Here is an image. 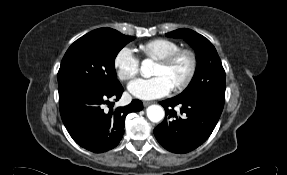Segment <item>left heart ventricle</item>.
Returning a JSON list of instances; mask_svg holds the SVG:
<instances>
[{
    "instance_id": "b2bd125f",
    "label": "left heart ventricle",
    "mask_w": 287,
    "mask_h": 175,
    "mask_svg": "<svg viewBox=\"0 0 287 175\" xmlns=\"http://www.w3.org/2000/svg\"><path fill=\"white\" fill-rule=\"evenodd\" d=\"M188 70L189 61L186 57H182L168 67L157 62L153 70V75H163L173 87L186 76Z\"/></svg>"
}]
</instances>
